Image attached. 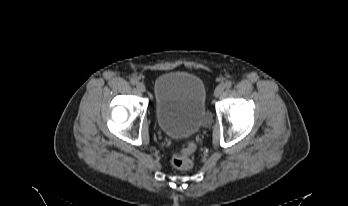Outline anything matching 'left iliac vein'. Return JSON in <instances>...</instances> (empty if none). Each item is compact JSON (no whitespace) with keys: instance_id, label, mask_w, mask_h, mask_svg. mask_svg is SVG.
I'll use <instances>...</instances> for the list:
<instances>
[{"instance_id":"obj_1","label":"left iliac vein","mask_w":348,"mask_h":206,"mask_svg":"<svg viewBox=\"0 0 348 206\" xmlns=\"http://www.w3.org/2000/svg\"><path fill=\"white\" fill-rule=\"evenodd\" d=\"M224 92V86L223 85H218L214 91V96L216 98L220 97Z\"/></svg>"}]
</instances>
